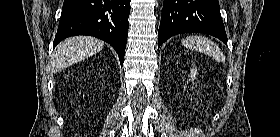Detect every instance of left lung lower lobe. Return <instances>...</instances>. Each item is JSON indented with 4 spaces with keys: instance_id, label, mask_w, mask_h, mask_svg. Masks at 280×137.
<instances>
[{
    "instance_id": "obj_1",
    "label": "left lung lower lobe",
    "mask_w": 280,
    "mask_h": 137,
    "mask_svg": "<svg viewBox=\"0 0 280 137\" xmlns=\"http://www.w3.org/2000/svg\"><path fill=\"white\" fill-rule=\"evenodd\" d=\"M182 33H205L227 44L218 0H164L158 31V48Z\"/></svg>"
}]
</instances>
